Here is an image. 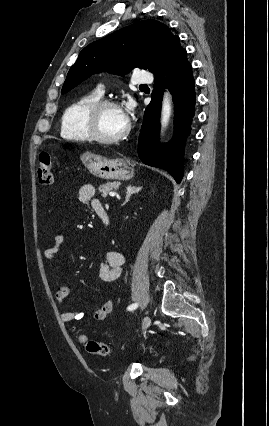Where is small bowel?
Returning a JSON list of instances; mask_svg holds the SVG:
<instances>
[{"label": "small bowel", "instance_id": "c3829d8e", "mask_svg": "<svg viewBox=\"0 0 269 426\" xmlns=\"http://www.w3.org/2000/svg\"><path fill=\"white\" fill-rule=\"evenodd\" d=\"M96 189L91 184L83 185L78 192V201L81 204H90L96 210L102 207L100 202L95 199ZM54 245L46 247L43 251L45 259L49 263L51 273L57 265V254L62 250L64 244V234L60 228H56L53 232ZM124 256L120 251H109L104 255L103 262L100 266V277L104 281H114L121 275L122 266L124 264ZM69 296V288L64 285H58L55 292V301L58 306H63ZM114 301L107 300L103 305L91 312L89 315L95 320H104L112 312ZM61 319L64 322L80 321L87 316V313L77 310L63 309L60 312Z\"/></svg>", "mask_w": 269, "mask_h": 426}]
</instances>
